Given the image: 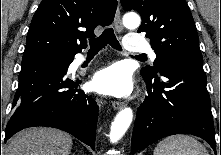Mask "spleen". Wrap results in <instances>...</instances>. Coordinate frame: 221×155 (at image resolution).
Returning <instances> with one entry per match:
<instances>
[{
	"instance_id": "spleen-1",
	"label": "spleen",
	"mask_w": 221,
	"mask_h": 155,
	"mask_svg": "<svg viewBox=\"0 0 221 155\" xmlns=\"http://www.w3.org/2000/svg\"><path fill=\"white\" fill-rule=\"evenodd\" d=\"M153 155H209L206 148L194 137L174 135L160 141Z\"/></svg>"
}]
</instances>
